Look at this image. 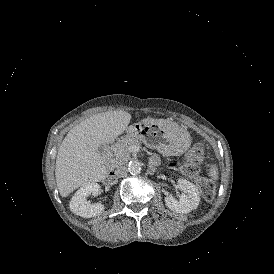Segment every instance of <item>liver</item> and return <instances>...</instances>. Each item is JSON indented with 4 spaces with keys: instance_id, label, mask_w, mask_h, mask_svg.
<instances>
[{
    "instance_id": "1",
    "label": "liver",
    "mask_w": 274,
    "mask_h": 274,
    "mask_svg": "<svg viewBox=\"0 0 274 274\" xmlns=\"http://www.w3.org/2000/svg\"><path fill=\"white\" fill-rule=\"evenodd\" d=\"M130 114L110 111L91 116L74 127L63 140L56 160V182L62 196L107 175L98 148L111 143L128 125Z\"/></svg>"
}]
</instances>
